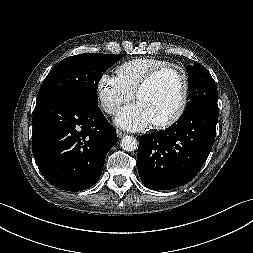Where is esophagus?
Here are the masks:
<instances>
[{
  "instance_id": "34e87169",
  "label": "esophagus",
  "mask_w": 253,
  "mask_h": 253,
  "mask_svg": "<svg viewBox=\"0 0 253 253\" xmlns=\"http://www.w3.org/2000/svg\"><path fill=\"white\" fill-rule=\"evenodd\" d=\"M125 135L124 132H122L121 130H117V136L118 138H122Z\"/></svg>"
}]
</instances>
